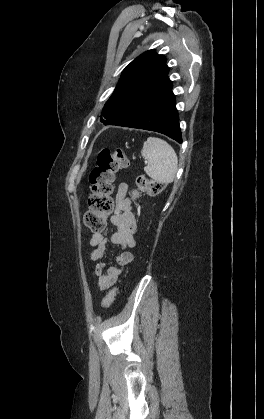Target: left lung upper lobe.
Returning <instances> with one entry per match:
<instances>
[{
    "instance_id": "1",
    "label": "left lung upper lobe",
    "mask_w": 264,
    "mask_h": 419,
    "mask_svg": "<svg viewBox=\"0 0 264 419\" xmlns=\"http://www.w3.org/2000/svg\"><path fill=\"white\" fill-rule=\"evenodd\" d=\"M169 67L164 55L154 50L134 59L123 71L113 94L106 102L100 120L106 121L112 115H121L128 111L130 105L137 101L147 87L168 80Z\"/></svg>"
}]
</instances>
